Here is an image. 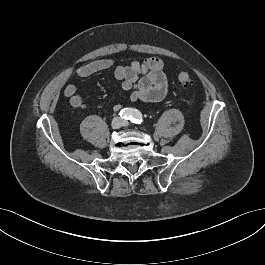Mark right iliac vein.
I'll return each instance as SVG.
<instances>
[{"instance_id":"1","label":"right iliac vein","mask_w":265,"mask_h":265,"mask_svg":"<svg viewBox=\"0 0 265 265\" xmlns=\"http://www.w3.org/2000/svg\"><path fill=\"white\" fill-rule=\"evenodd\" d=\"M122 126V119L119 117H115L111 122L112 129H118Z\"/></svg>"}]
</instances>
